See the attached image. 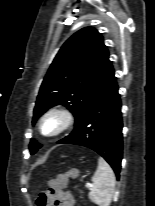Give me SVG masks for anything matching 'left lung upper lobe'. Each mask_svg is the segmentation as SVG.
<instances>
[{
    "mask_svg": "<svg viewBox=\"0 0 155 206\" xmlns=\"http://www.w3.org/2000/svg\"><path fill=\"white\" fill-rule=\"evenodd\" d=\"M114 77L101 34L92 27L79 30L63 44L41 84L33 123L50 107L63 104L74 114L77 124L87 107ZM40 147L34 139L31 140V154Z\"/></svg>",
    "mask_w": 155,
    "mask_h": 206,
    "instance_id": "5c2ea615",
    "label": "left lung upper lobe"
}]
</instances>
